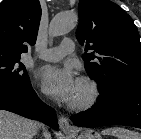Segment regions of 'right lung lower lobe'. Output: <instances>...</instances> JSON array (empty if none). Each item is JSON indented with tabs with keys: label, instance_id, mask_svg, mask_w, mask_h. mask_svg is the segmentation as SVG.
<instances>
[{
	"label": "right lung lower lobe",
	"instance_id": "obj_1",
	"mask_svg": "<svg viewBox=\"0 0 141 139\" xmlns=\"http://www.w3.org/2000/svg\"><path fill=\"white\" fill-rule=\"evenodd\" d=\"M0 109L14 112L29 119L39 120L58 129L54 109L38 98L30 83L21 87H0Z\"/></svg>",
	"mask_w": 141,
	"mask_h": 139
}]
</instances>
